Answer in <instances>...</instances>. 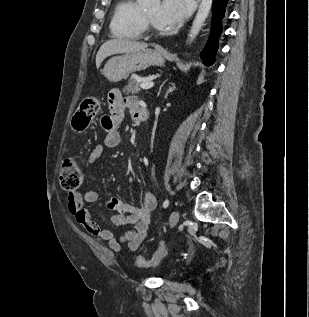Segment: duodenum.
I'll return each instance as SVG.
<instances>
[{
  "label": "duodenum",
  "instance_id": "duodenum-1",
  "mask_svg": "<svg viewBox=\"0 0 309 317\" xmlns=\"http://www.w3.org/2000/svg\"><path fill=\"white\" fill-rule=\"evenodd\" d=\"M138 118H139L140 121H145V120H147V118H148V111H147L145 108L140 107Z\"/></svg>",
  "mask_w": 309,
  "mask_h": 317
}]
</instances>
